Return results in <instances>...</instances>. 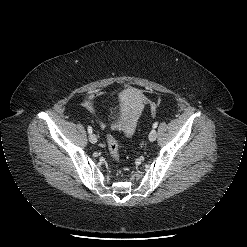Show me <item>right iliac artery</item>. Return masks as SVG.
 I'll return each mask as SVG.
<instances>
[{
	"label": "right iliac artery",
	"mask_w": 247,
	"mask_h": 247,
	"mask_svg": "<svg viewBox=\"0 0 247 247\" xmlns=\"http://www.w3.org/2000/svg\"><path fill=\"white\" fill-rule=\"evenodd\" d=\"M88 133L91 134L92 133V127L91 126H88Z\"/></svg>",
	"instance_id": "obj_1"
}]
</instances>
